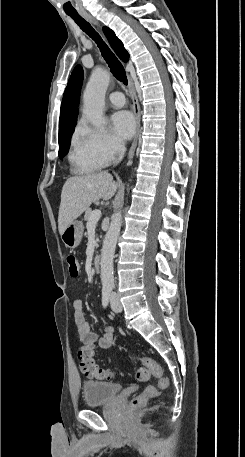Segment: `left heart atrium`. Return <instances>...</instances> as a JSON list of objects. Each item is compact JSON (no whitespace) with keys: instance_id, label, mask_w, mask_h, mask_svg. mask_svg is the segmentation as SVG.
I'll use <instances>...</instances> for the list:
<instances>
[{"instance_id":"1","label":"left heart atrium","mask_w":245,"mask_h":457,"mask_svg":"<svg viewBox=\"0 0 245 457\" xmlns=\"http://www.w3.org/2000/svg\"><path fill=\"white\" fill-rule=\"evenodd\" d=\"M111 121L115 132L120 138L128 139L134 133L136 124L131 113L119 111L112 116Z\"/></svg>"}]
</instances>
